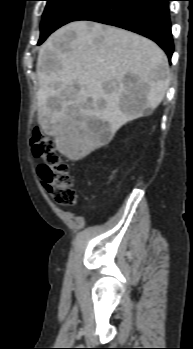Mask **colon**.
<instances>
[{"mask_svg":"<svg viewBox=\"0 0 193 349\" xmlns=\"http://www.w3.org/2000/svg\"><path fill=\"white\" fill-rule=\"evenodd\" d=\"M30 144L34 156L41 160L38 173L47 191L59 205L73 206L76 192L70 167L58 155L54 140L35 128Z\"/></svg>","mask_w":193,"mask_h":349,"instance_id":"colon-1","label":"colon"}]
</instances>
